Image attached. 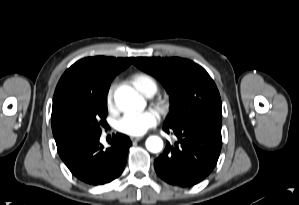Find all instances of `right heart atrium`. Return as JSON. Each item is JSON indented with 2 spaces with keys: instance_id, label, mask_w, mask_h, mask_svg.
<instances>
[{
  "instance_id": "right-heart-atrium-1",
  "label": "right heart atrium",
  "mask_w": 299,
  "mask_h": 205,
  "mask_svg": "<svg viewBox=\"0 0 299 205\" xmlns=\"http://www.w3.org/2000/svg\"><path fill=\"white\" fill-rule=\"evenodd\" d=\"M114 90H115V87L114 85H111L107 92H106V96H105V102H106V105L108 107V109H112L113 106H114Z\"/></svg>"
}]
</instances>
